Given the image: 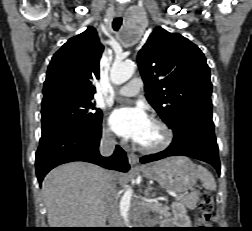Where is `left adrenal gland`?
I'll return each mask as SVG.
<instances>
[{"label":"left adrenal gland","mask_w":252,"mask_h":231,"mask_svg":"<svg viewBox=\"0 0 252 231\" xmlns=\"http://www.w3.org/2000/svg\"><path fill=\"white\" fill-rule=\"evenodd\" d=\"M152 190H153V188L151 187L150 184H148L147 187H146V189H145V192H144L145 195L148 196V195H149V192L152 191Z\"/></svg>","instance_id":"a2214340"}]
</instances>
